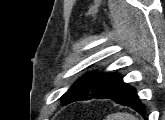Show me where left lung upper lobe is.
<instances>
[{
	"label": "left lung upper lobe",
	"instance_id": "1",
	"mask_svg": "<svg viewBox=\"0 0 165 120\" xmlns=\"http://www.w3.org/2000/svg\"><path fill=\"white\" fill-rule=\"evenodd\" d=\"M123 84L121 75L95 74L89 72L78 79L69 90L61 97V103L67 105L78 100H89L92 98L104 99L112 94Z\"/></svg>",
	"mask_w": 165,
	"mask_h": 120
}]
</instances>
